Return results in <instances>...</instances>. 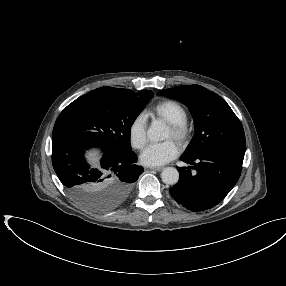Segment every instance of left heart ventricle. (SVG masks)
I'll return each instance as SVG.
<instances>
[{
  "mask_svg": "<svg viewBox=\"0 0 286 286\" xmlns=\"http://www.w3.org/2000/svg\"><path fill=\"white\" fill-rule=\"evenodd\" d=\"M166 138H167V139H168V138H173V133H172V131H171L170 128H168V130H167Z\"/></svg>",
  "mask_w": 286,
  "mask_h": 286,
  "instance_id": "1",
  "label": "left heart ventricle"
}]
</instances>
